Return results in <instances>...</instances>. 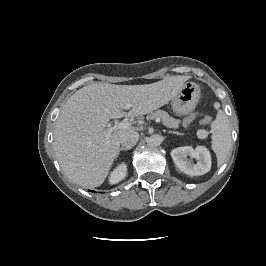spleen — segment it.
<instances>
[{"instance_id":"obj_1","label":"spleen","mask_w":266,"mask_h":266,"mask_svg":"<svg viewBox=\"0 0 266 266\" xmlns=\"http://www.w3.org/2000/svg\"><path fill=\"white\" fill-rule=\"evenodd\" d=\"M212 145L211 148L217 156L218 166H221L230 154L231 129L226 114L219 110L215 120L211 124Z\"/></svg>"}]
</instances>
